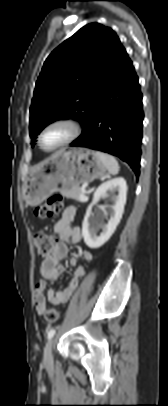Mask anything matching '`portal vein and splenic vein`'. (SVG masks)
Listing matches in <instances>:
<instances>
[{"label":"portal vein and splenic vein","instance_id":"obj_1","mask_svg":"<svg viewBox=\"0 0 168 406\" xmlns=\"http://www.w3.org/2000/svg\"><path fill=\"white\" fill-rule=\"evenodd\" d=\"M80 197H81V200H83V201L88 200V198L84 195V193H82Z\"/></svg>","mask_w":168,"mask_h":406}]
</instances>
